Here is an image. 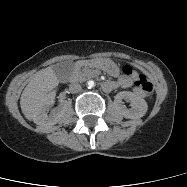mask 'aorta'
I'll return each mask as SVG.
<instances>
[{
	"label": "aorta",
	"instance_id": "1",
	"mask_svg": "<svg viewBox=\"0 0 187 187\" xmlns=\"http://www.w3.org/2000/svg\"><path fill=\"white\" fill-rule=\"evenodd\" d=\"M95 86V83L93 81L88 82V88H93Z\"/></svg>",
	"mask_w": 187,
	"mask_h": 187
}]
</instances>
